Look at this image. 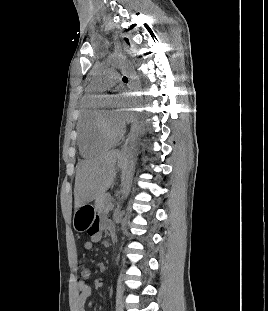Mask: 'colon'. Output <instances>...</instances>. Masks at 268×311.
Masks as SVG:
<instances>
[{"label": "colon", "instance_id": "colon-1", "mask_svg": "<svg viewBox=\"0 0 268 311\" xmlns=\"http://www.w3.org/2000/svg\"><path fill=\"white\" fill-rule=\"evenodd\" d=\"M80 273L83 278H88L90 276V270L84 266L81 267Z\"/></svg>", "mask_w": 268, "mask_h": 311}]
</instances>
